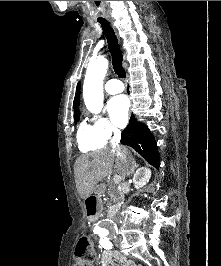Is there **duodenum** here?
I'll return each mask as SVG.
<instances>
[{"instance_id": "duodenum-1", "label": "duodenum", "mask_w": 221, "mask_h": 266, "mask_svg": "<svg viewBox=\"0 0 221 266\" xmlns=\"http://www.w3.org/2000/svg\"><path fill=\"white\" fill-rule=\"evenodd\" d=\"M102 195V191L93 190L88 194V197L85 200L89 223H98V219H100V213H102V198H100V196ZM106 215L112 217L115 215V212L107 211Z\"/></svg>"}]
</instances>
